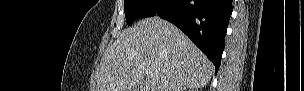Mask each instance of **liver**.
Listing matches in <instances>:
<instances>
[{
    "mask_svg": "<svg viewBox=\"0 0 304 91\" xmlns=\"http://www.w3.org/2000/svg\"><path fill=\"white\" fill-rule=\"evenodd\" d=\"M152 70L147 75L146 69ZM212 62L158 16L124 30L104 53L95 91H185L206 86Z\"/></svg>",
    "mask_w": 304,
    "mask_h": 91,
    "instance_id": "obj_1",
    "label": "liver"
}]
</instances>
